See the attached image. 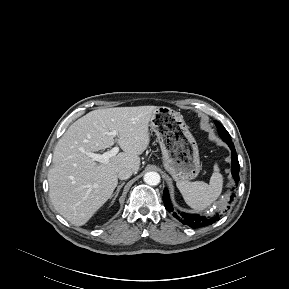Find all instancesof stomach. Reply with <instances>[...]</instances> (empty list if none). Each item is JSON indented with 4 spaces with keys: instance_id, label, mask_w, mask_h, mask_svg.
Masks as SVG:
<instances>
[{
    "instance_id": "stomach-1",
    "label": "stomach",
    "mask_w": 289,
    "mask_h": 289,
    "mask_svg": "<svg viewBox=\"0 0 289 289\" xmlns=\"http://www.w3.org/2000/svg\"><path fill=\"white\" fill-rule=\"evenodd\" d=\"M162 151L163 166L175 181L194 179L200 171L199 150L183 116L169 107L155 109L149 121Z\"/></svg>"
}]
</instances>
